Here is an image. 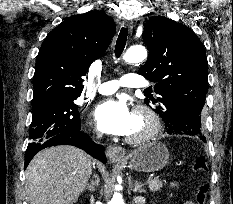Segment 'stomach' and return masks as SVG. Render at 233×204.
Returning a JSON list of instances; mask_svg holds the SVG:
<instances>
[{"label": "stomach", "instance_id": "0dacf381", "mask_svg": "<svg viewBox=\"0 0 233 204\" xmlns=\"http://www.w3.org/2000/svg\"><path fill=\"white\" fill-rule=\"evenodd\" d=\"M129 167L136 171L155 172L163 169L169 160L165 144L151 141L136 149L128 157Z\"/></svg>", "mask_w": 233, "mask_h": 204}]
</instances>
